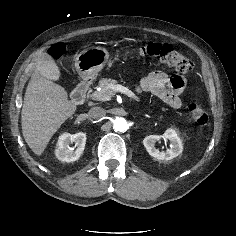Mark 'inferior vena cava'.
Instances as JSON below:
<instances>
[{"mask_svg":"<svg viewBox=\"0 0 236 236\" xmlns=\"http://www.w3.org/2000/svg\"><path fill=\"white\" fill-rule=\"evenodd\" d=\"M88 114L93 119H101L106 115V110L101 107H92Z\"/></svg>","mask_w":236,"mask_h":236,"instance_id":"602c4592","label":"inferior vena cava"}]
</instances>
